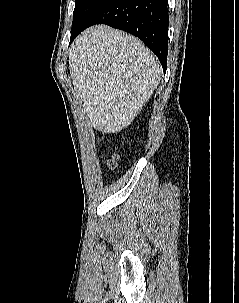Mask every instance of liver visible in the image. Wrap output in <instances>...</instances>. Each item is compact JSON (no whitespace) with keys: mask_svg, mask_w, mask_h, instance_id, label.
Returning a JSON list of instances; mask_svg holds the SVG:
<instances>
[{"mask_svg":"<svg viewBox=\"0 0 239 303\" xmlns=\"http://www.w3.org/2000/svg\"><path fill=\"white\" fill-rule=\"evenodd\" d=\"M69 71L91 125L104 133L128 127L161 80L156 56L136 37L106 25L75 39Z\"/></svg>","mask_w":239,"mask_h":303,"instance_id":"obj_1","label":"liver"}]
</instances>
